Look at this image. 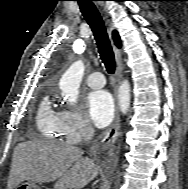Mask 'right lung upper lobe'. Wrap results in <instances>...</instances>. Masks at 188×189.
Masks as SVG:
<instances>
[{
  "label": "right lung upper lobe",
  "instance_id": "1",
  "mask_svg": "<svg viewBox=\"0 0 188 189\" xmlns=\"http://www.w3.org/2000/svg\"><path fill=\"white\" fill-rule=\"evenodd\" d=\"M113 39H114V42L117 45V47H120L121 43H120V38H119L117 31H113Z\"/></svg>",
  "mask_w": 188,
  "mask_h": 189
}]
</instances>
